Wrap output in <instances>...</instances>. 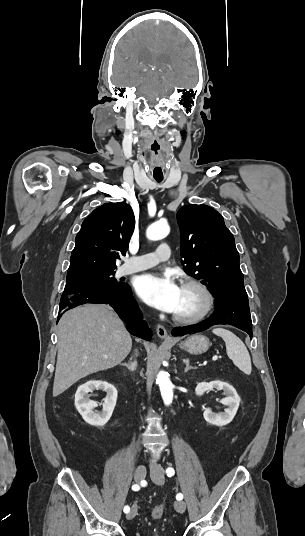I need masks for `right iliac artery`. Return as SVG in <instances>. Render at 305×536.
Wrapping results in <instances>:
<instances>
[{
  "label": "right iliac artery",
  "instance_id": "1",
  "mask_svg": "<svg viewBox=\"0 0 305 536\" xmlns=\"http://www.w3.org/2000/svg\"><path fill=\"white\" fill-rule=\"evenodd\" d=\"M140 489L139 485L138 484H134L132 486V490L134 491H138ZM125 513H128L130 511V507L129 506H125L124 507V510H123Z\"/></svg>",
  "mask_w": 305,
  "mask_h": 536
}]
</instances>
